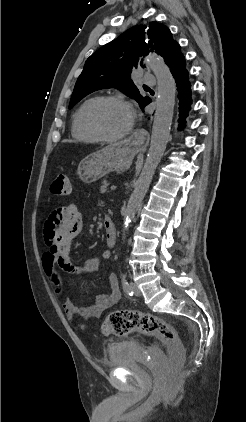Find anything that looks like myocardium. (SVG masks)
I'll return each mask as SVG.
<instances>
[{
	"label": "myocardium",
	"instance_id": "myocardium-1",
	"mask_svg": "<svg viewBox=\"0 0 246 422\" xmlns=\"http://www.w3.org/2000/svg\"><path fill=\"white\" fill-rule=\"evenodd\" d=\"M107 102H115V103L122 104V105L126 106L131 112L130 125L128 126V128L124 132H122L118 135H107V134L103 133L95 123L94 113H95L96 109L100 105L107 103ZM84 121H85V125H86L87 129L90 131V133L98 141L109 142V143L110 142H117V141H120V140L126 138L132 132V130L134 128V123H135V113H134V110H133V107L131 106V104L127 100L122 98L121 96L105 95V96L97 97L96 99H94L90 103V105L86 109Z\"/></svg>",
	"mask_w": 246,
	"mask_h": 422
}]
</instances>
